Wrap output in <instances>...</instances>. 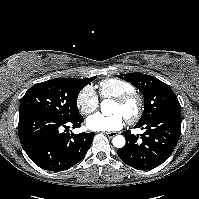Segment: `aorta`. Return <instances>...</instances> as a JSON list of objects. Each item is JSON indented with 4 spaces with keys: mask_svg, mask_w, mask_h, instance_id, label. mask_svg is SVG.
<instances>
[{
    "mask_svg": "<svg viewBox=\"0 0 199 199\" xmlns=\"http://www.w3.org/2000/svg\"><path fill=\"white\" fill-rule=\"evenodd\" d=\"M114 101L113 100H110V99H106V100H103L101 102V108H102V113L103 115L105 116H108L110 115V112L108 110V107L109 105L113 104ZM112 143H113V146L116 147V148H122L124 147L125 145V138L124 136L122 135H116L113 139H112Z\"/></svg>",
    "mask_w": 199,
    "mask_h": 199,
    "instance_id": "1",
    "label": "aorta"
}]
</instances>
